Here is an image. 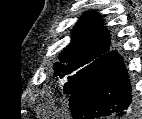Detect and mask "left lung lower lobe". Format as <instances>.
Wrapping results in <instances>:
<instances>
[{
  "label": "left lung lower lobe",
  "instance_id": "0a47b994",
  "mask_svg": "<svg viewBox=\"0 0 142 119\" xmlns=\"http://www.w3.org/2000/svg\"><path fill=\"white\" fill-rule=\"evenodd\" d=\"M123 59L109 52L91 69L70 94L74 119H96L116 114L133 116L136 111Z\"/></svg>",
  "mask_w": 142,
  "mask_h": 119
}]
</instances>
